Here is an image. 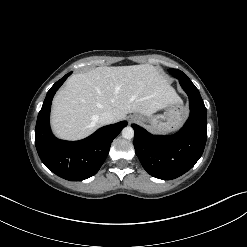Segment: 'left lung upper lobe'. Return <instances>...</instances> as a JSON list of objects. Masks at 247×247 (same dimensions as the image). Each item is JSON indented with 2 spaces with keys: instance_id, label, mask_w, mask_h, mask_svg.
Segmentation results:
<instances>
[{
  "instance_id": "1",
  "label": "left lung upper lobe",
  "mask_w": 247,
  "mask_h": 247,
  "mask_svg": "<svg viewBox=\"0 0 247 247\" xmlns=\"http://www.w3.org/2000/svg\"><path fill=\"white\" fill-rule=\"evenodd\" d=\"M171 74H173L174 76L183 73L182 71L178 70V69H170L169 70Z\"/></svg>"
}]
</instances>
